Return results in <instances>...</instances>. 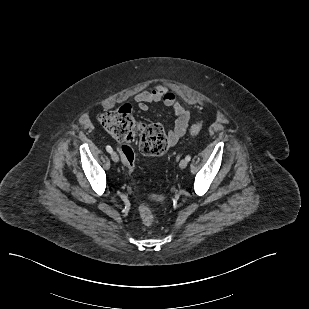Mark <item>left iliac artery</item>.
Masks as SVG:
<instances>
[{
	"label": "left iliac artery",
	"mask_w": 309,
	"mask_h": 309,
	"mask_svg": "<svg viewBox=\"0 0 309 309\" xmlns=\"http://www.w3.org/2000/svg\"><path fill=\"white\" fill-rule=\"evenodd\" d=\"M185 159L189 162V161L191 160V156H190V155H187V156L185 157Z\"/></svg>",
	"instance_id": "44dca946"
}]
</instances>
